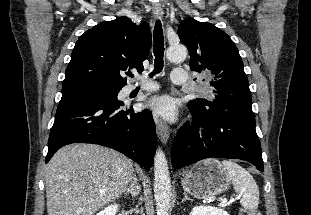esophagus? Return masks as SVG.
I'll return each instance as SVG.
<instances>
[{"label":"esophagus","instance_id":"obj_1","mask_svg":"<svg viewBox=\"0 0 311 215\" xmlns=\"http://www.w3.org/2000/svg\"><path fill=\"white\" fill-rule=\"evenodd\" d=\"M152 12L156 18H161L163 15V10L159 5L153 6ZM154 120L156 124V131L161 142L163 144H167L168 139H169V131H170L168 125L156 116Z\"/></svg>","mask_w":311,"mask_h":215}]
</instances>
